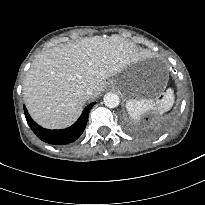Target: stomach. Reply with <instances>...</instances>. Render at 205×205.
<instances>
[{"label": "stomach", "mask_w": 205, "mask_h": 205, "mask_svg": "<svg viewBox=\"0 0 205 205\" xmlns=\"http://www.w3.org/2000/svg\"><path fill=\"white\" fill-rule=\"evenodd\" d=\"M112 84L128 99H157L163 93L167 80H147L143 76L142 66L130 65Z\"/></svg>", "instance_id": "0dacf381"}]
</instances>
